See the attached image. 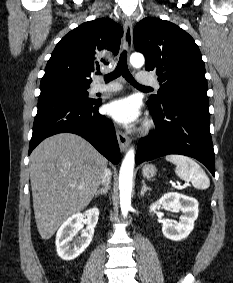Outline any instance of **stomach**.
Listing matches in <instances>:
<instances>
[{
    "mask_svg": "<svg viewBox=\"0 0 233 283\" xmlns=\"http://www.w3.org/2000/svg\"><path fill=\"white\" fill-rule=\"evenodd\" d=\"M157 173V169L152 164H147L142 169V174L145 178L150 179L153 178Z\"/></svg>",
    "mask_w": 233,
    "mask_h": 283,
    "instance_id": "stomach-1",
    "label": "stomach"
}]
</instances>
